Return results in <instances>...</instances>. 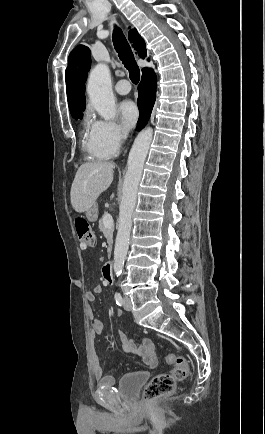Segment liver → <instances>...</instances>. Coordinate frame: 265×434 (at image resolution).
Returning <instances> with one entry per match:
<instances>
[{
    "mask_svg": "<svg viewBox=\"0 0 265 434\" xmlns=\"http://www.w3.org/2000/svg\"><path fill=\"white\" fill-rule=\"evenodd\" d=\"M112 162H91L82 164L72 184L70 196L75 212H87L97 198L105 192L113 182Z\"/></svg>",
    "mask_w": 265,
    "mask_h": 434,
    "instance_id": "1",
    "label": "liver"
}]
</instances>
